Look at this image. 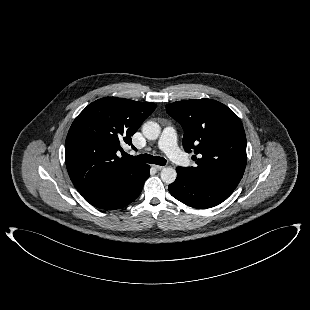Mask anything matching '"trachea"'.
Listing matches in <instances>:
<instances>
[{
  "label": "trachea",
  "instance_id": "trachea-1",
  "mask_svg": "<svg viewBox=\"0 0 310 310\" xmlns=\"http://www.w3.org/2000/svg\"><path fill=\"white\" fill-rule=\"evenodd\" d=\"M124 157L129 160L137 161V162H144V163H151L156 165H165L166 159L159 156H152L150 154H141L138 156H130L126 153H124Z\"/></svg>",
  "mask_w": 310,
  "mask_h": 310
}]
</instances>
